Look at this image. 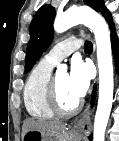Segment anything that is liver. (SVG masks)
Masks as SVG:
<instances>
[{
  "label": "liver",
  "instance_id": "obj_1",
  "mask_svg": "<svg viewBox=\"0 0 119 141\" xmlns=\"http://www.w3.org/2000/svg\"><path fill=\"white\" fill-rule=\"evenodd\" d=\"M66 124L60 121L26 120L22 127V136L29 130H39L48 133L65 131Z\"/></svg>",
  "mask_w": 119,
  "mask_h": 141
}]
</instances>
